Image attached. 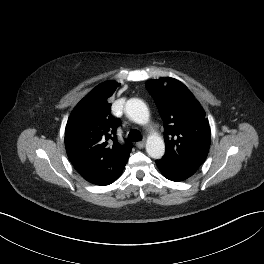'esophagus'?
Segmentation results:
<instances>
[{
  "label": "esophagus",
  "instance_id": "1",
  "mask_svg": "<svg viewBox=\"0 0 264 264\" xmlns=\"http://www.w3.org/2000/svg\"><path fill=\"white\" fill-rule=\"evenodd\" d=\"M144 146H145V141H140L136 143V147L139 149L143 148Z\"/></svg>",
  "mask_w": 264,
  "mask_h": 264
}]
</instances>
